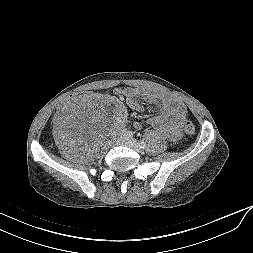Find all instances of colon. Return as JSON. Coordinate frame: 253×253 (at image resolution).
Masks as SVG:
<instances>
[{"label": "colon", "instance_id": "colon-1", "mask_svg": "<svg viewBox=\"0 0 253 253\" xmlns=\"http://www.w3.org/2000/svg\"><path fill=\"white\" fill-rule=\"evenodd\" d=\"M93 90L92 89H85V90H78L75 92H71L69 95L66 96L65 100L62 103L57 104L58 111L68 110L70 104L78 98L85 97V96H92ZM184 131L188 135H193L195 133V127L190 121H186L184 123Z\"/></svg>", "mask_w": 253, "mask_h": 253}]
</instances>
